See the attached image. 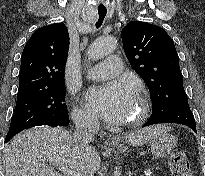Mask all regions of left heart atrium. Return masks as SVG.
Instances as JSON below:
<instances>
[{"label":"left heart atrium","mask_w":205,"mask_h":176,"mask_svg":"<svg viewBox=\"0 0 205 176\" xmlns=\"http://www.w3.org/2000/svg\"><path fill=\"white\" fill-rule=\"evenodd\" d=\"M135 99V87L128 81L91 87L86 94V100L92 110L110 122L121 121Z\"/></svg>","instance_id":"left-heart-atrium-1"}]
</instances>
